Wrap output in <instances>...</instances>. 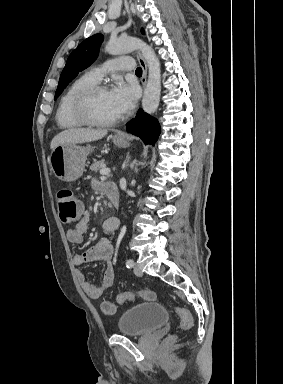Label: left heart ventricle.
<instances>
[{
    "mask_svg": "<svg viewBox=\"0 0 283 384\" xmlns=\"http://www.w3.org/2000/svg\"><path fill=\"white\" fill-rule=\"evenodd\" d=\"M87 113L98 121H110L120 116L111 102L108 89L94 95L87 107Z\"/></svg>",
    "mask_w": 283,
    "mask_h": 384,
    "instance_id": "left-heart-ventricle-1",
    "label": "left heart ventricle"
}]
</instances>
